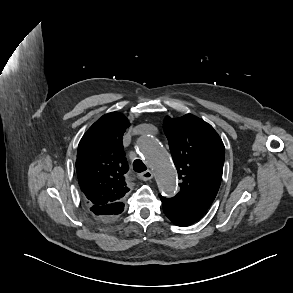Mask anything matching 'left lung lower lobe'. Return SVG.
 <instances>
[{
  "mask_svg": "<svg viewBox=\"0 0 293 293\" xmlns=\"http://www.w3.org/2000/svg\"><path fill=\"white\" fill-rule=\"evenodd\" d=\"M163 211L176 225L185 227L199 220L204 213L194 210L174 198H164L160 195Z\"/></svg>",
  "mask_w": 293,
  "mask_h": 293,
  "instance_id": "1",
  "label": "left lung lower lobe"
}]
</instances>
